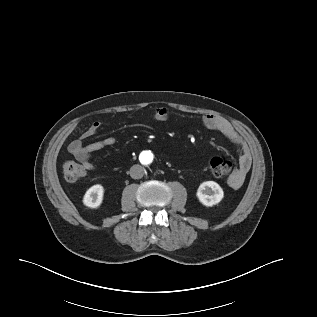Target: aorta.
Here are the masks:
<instances>
[{
    "instance_id": "1",
    "label": "aorta",
    "mask_w": 317,
    "mask_h": 317,
    "mask_svg": "<svg viewBox=\"0 0 317 317\" xmlns=\"http://www.w3.org/2000/svg\"><path fill=\"white\" fill-rule=\"evenodd\" d=\"M140 160L146 166H152L154 163L153 155L151 153H143L140 156Z\"/></svg>"
}]
</instances>
